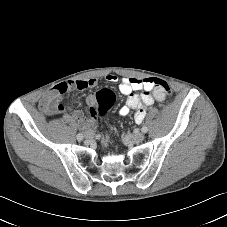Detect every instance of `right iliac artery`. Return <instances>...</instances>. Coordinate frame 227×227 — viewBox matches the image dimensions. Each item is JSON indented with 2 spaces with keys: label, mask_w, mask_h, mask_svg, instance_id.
Instances as JSON below:
<instances>
[{
  "label": "right iliac artery",
  "mask_w": 227,
  "mask_h": 227,
  "mask_svg": "<svg viewBox=\"0 0 227 227\" xmlns=\"http://www.w3.org/2000/svg\"><path fill=\"white\" fill-rule=\"evenodd\" d=\"M83 137L84 136L81 133L77 134V136H76V138H77L78 141H81L83 139Z\"/></svg>",
  "instance_id": "82829eb1"
}]
</instances>
